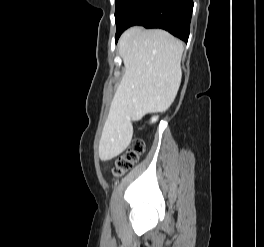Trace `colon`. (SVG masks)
Segmentation results:
<instances>
[{
    "label": "colon",
    "mask_w": 264,
    "mask_h": 247,
    "mask_svg": "<svg viewBox=\"0 0 264 247\" xmlns=\"http://www.w3.org/2000/svg\"><path fill=\"white\" fill-rule=\"evenodd\" d=\"M144 148V143L141 140H134L131 145L116 158L113 175L115 177L121 176L132 168L139 156L144 152Z\"/></svg>",
    "instance_id": "obj_1"
}]
</instances>
